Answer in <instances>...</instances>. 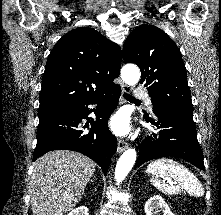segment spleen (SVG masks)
<instances>
[{"instance_id":"obj_1","label":"spleen","mask_w":221,"mask_h":215,"mask_svg":"<svg viewBox=\"0 0 221 215\" xmlns=\"http://www.w3.org/2000/svg\"><path fill=\"white\" fill-rule=\"evenodd\" d=\"M146 172L148 174H159L160 176H170L178 183L177 186H170L158 178H152L151 183L159 191L171 195L178 194L181 190L188 192L190 195L202 196L204 189L198 178L185 166L170 158H161L152 161Z\"/></svg>"}]
</instances>
